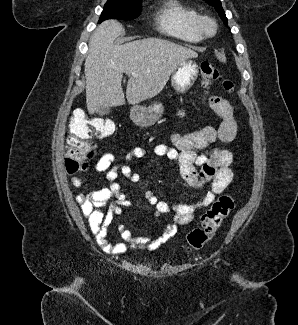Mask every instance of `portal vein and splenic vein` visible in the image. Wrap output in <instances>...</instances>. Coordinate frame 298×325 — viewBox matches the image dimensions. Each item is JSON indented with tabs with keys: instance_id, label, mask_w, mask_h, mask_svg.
<instances>
[{
	"instance_id": "obj_1",
	"label": "portal vein and splenic vein",
	"mask_w": 298,
	"mask_h": 325,
	"mask_svg": "<svg viewBox=\"0 0 298 325\" xmlns=\"http://www.w3.org/2000/svg\"><path fill=\"white\" fill-rule=\"evenodd\" d=\"M132 76H138V74H136V72H131Z\"/></svg>"
}]
</instances>
